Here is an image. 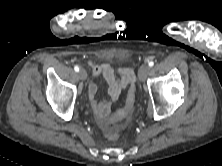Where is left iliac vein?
Returning a JSON list of instances; mask_svg holds the SVG:
<instances>
[{"mask_svg":"<svg viewBox=\"0 0 222 166\" xmlns=\"http://www.w3.org/2000/svg\"><path fill=\"white\" fill-rule=\"evenodd\" d=\"M149 71H150V67L148 65L146 64L142 65L138 71L139 79L141 81H145L147 75L149 74Z\"/></svg>","mask_w":222,"mask_h":166,"instance_id":"obj_1","label":"left iliac vein"}]
</instances>
